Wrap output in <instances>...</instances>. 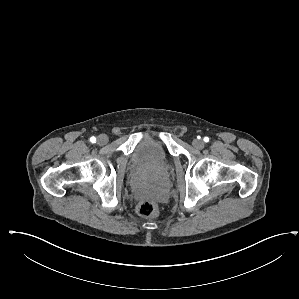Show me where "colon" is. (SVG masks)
Segmentation results:
<instances>
[{"instance_id":"1","label":"colon","mask_w":299,"mask_h":299,"mask_svg":"<svg viewBox=\"0 0 299 299\" xmlns=\"http://www.w3.org/2000/svg\"><path fill=\"white\" fill-rule=\"evenodd\" d=\"M136 211L141 217L144 218H154L159 214V209L156 203L149 200L141 201L137 205Z\"/></svg>"}]
</instances>
